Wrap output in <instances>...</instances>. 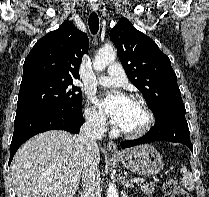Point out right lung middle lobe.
<instances>
[{"label":"right lung middle lobe","instance_id":"dd1d6c3e","mask_svg":"<svg viewBox=\"0 0 209 197\" xmlns=\"http://www.w3.org/2000/svg\"><path fill=\"white\" fill-rule=\"evenodd\" d=\"M81 101L80 89L72 80L31 81L20 85L16 116L51 107L80 109Z\"/></svg>","mask_w":209,"mask_h":197}]
</instances>
